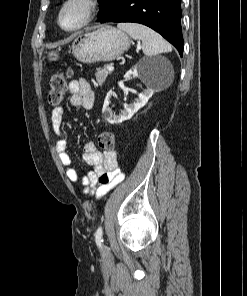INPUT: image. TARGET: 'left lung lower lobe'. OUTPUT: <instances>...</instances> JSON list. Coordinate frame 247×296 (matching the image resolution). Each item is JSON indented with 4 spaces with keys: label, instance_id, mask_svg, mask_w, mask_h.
Instances as JSON below:
<instances>
[{
    "label": "left lung lower lobe",
    "instance_id": "left-lung-lower-lobe-1",
    "mask_svg": "<svg viewBox=\"0 0 247 296\" xmlns=\"http://www.w3.org/2000/svg\"><path fill=\"white\" fill-rule=\"evenodd\" d=\"M181 0H112L98 16L104 22H134L160 33L183 55Z\"/></svg>",
    "mask_w": 247,
    "mask_h": 296
}]
</instances>
